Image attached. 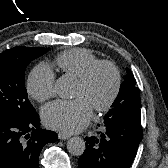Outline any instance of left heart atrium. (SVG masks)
Wrapping results in <instances>:
<instances>
[{
	"label": "left heart atrium",
	"mask_w": 168,
	"mask_h": 168,
	"mask_svg": "<svg viewBox=\"0 0 168 168\" xmlns=\"http://www.w3.org/2000/svg\"><path fill=\"white\" fill-rule=\"evenodd\" d=\"M42 118L48 128L74 133L91 121L92 106L83 97L74 100H57L43 109Z\"/></svg>",
	"instance_id": "1"
}]
</instances>
